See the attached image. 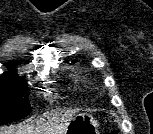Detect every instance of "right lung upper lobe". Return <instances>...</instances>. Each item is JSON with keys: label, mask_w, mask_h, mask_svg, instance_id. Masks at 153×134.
Here are the masks:
<instances>
[{"label": "right lung upper lobe", "mask_w": 153, "mask_h": 134, "mask_svg": "<svg viewBox=\"0 0 153 134\" xmlns=\"http://www.w3.org/2000/svg\"><path fill=\"white\" fill-rule=\"evenodd\" d=\"M8 66L10 69L7 72H5L4 75L2 77H0V79L1 78H5V79L21 78L17 75V73L15 71H12V68H14L12 66V64L9 63Z\"/></svg>", "instance_id": "obj_1"}]
</instances>
